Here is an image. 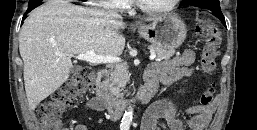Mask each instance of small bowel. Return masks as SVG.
Here are the masks:
<instances>
[{"mask_svg": "<svg viewBox=\"0 0 257 130\" xmlns=\"http://www.w3.org/2000/svg\"><path fill=\"white\" fill-rule=\"evenodd\" d=\"M194 61V53L190 50L180 57L161 62L153 66L146 74V81L153 80L165 86H170L174 82L185 76L192 74L191 65ZM103 109L98 99L88 101L84 110ZM215 107L194 106L186 114L190 118L184 122L175 104L170 100H161L154 103L144 114L141 130H204L209 124ZM75 130H88L85 125L79 124Z\"/></svg>", "mask_w": 257, "mask_h": 130, "instance_id": "obj_1", "label": "small bowel"}]
</instances>
